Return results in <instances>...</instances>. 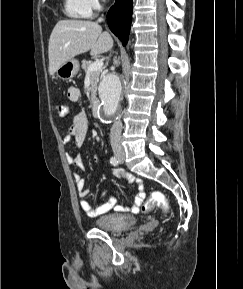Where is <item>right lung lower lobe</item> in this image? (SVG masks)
I'll use <instances>...</instances> for the list:
<instances>
[{"label": "right lung lower lobe", "instance_id": "obj_1", "mask_svg": "<svg viewBox=\"0 0 243 289\" xmlns=\"http://www.w3.org/2000/svg\"><path fill=\"white\" fill-rule=\"evenodd\" d=\"M132 21V0H116L107 14V22L111 31L125 46L128 42Z\"/></svg>", "mask_w": 243, "mask_h": 289}]
</instances>
